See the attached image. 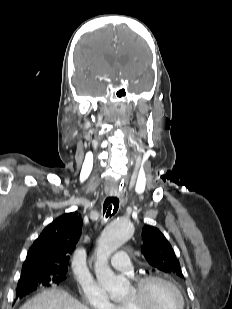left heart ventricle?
Wrapping results in <instances>:
<instances>
[{"label":"left heart ventricle","mask_w":232,"mask_h":309,"mask_svg":"<svg viewBox=\"0 0 232 309\" xmlns=\"http://www.w3.org/2000/svg\"><path fill=\"white\" fill-rule=\"evenodd\" d=\"M134 296L132 289L127 300ZM149 306L151 309H180L181 300L177 292L165 283L154 282L148 290Z\"/></svg>","instance_id":"1"}]
</instances>
